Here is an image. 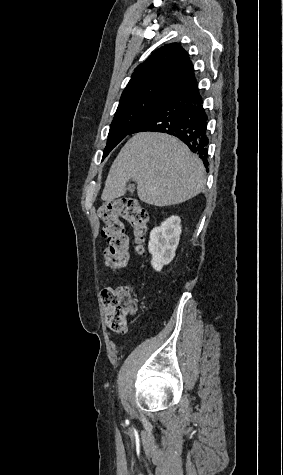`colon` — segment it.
Instances as JSON below:
<instances>
[{
  "label": "colon",
  "instance_id": "colon-1",
  "mask_svg": "<svg viewBox=\"0 0 283 475\" xmlns=\"http://www.w3.org/2000/svg\"><path fill=\"white\" fill-rule=\"evenodd\" d=\"M104 223L103 233L107 239L103 258L108 267L115 273L122 272L129 263V249L123 220H127L138 241L137 250L143 252L148 234V214L137 200L132 197L111 201L99 211ZM134 288L120 284L101 290L99 297L105 307V321L114 332H126L131 317L136 312Z\"/></svg>",
  "mask_w": 283,
  "mask_h": 475
}]
</instances>
